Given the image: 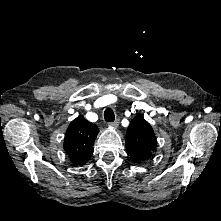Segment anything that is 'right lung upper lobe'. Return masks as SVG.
<instances>
[{
	"mask_svg": "<svg viewBox=\"0 0 221 221\" xmlns=\"http://www.w3.org/2000/svg\"><path fill=\"white\" fill-rule=\"evenodd\" d=\"M98 131L97 126L83 116H78L70 123L63 146L75 166H83L91 158Z\"/></svg>",
	"mask_w": 221,
	"mask_h": 221,
	"instance_id": "right-lung-upper-lobe-1",
	"label": "right lung upper lobe"
}]
</instances>
